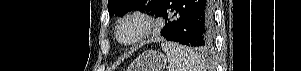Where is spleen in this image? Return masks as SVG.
<instances>
[{"label":"spleen","instance_id":"1","mask_svg":"<svg viewBox=\"0 0 301 71\" xmlns=\"http://www.w3.org/2000/svg\"><path fill=\"white\" fill-rule=\"evenodd\" d=\"M169 62V71H205L200 56L192 50L174 42L161 44Z\"/></svg>","mask_w":301,"mask_h":71}]
</instances>
